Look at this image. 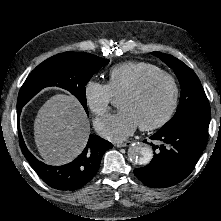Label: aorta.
Instances as JSON below:
<instances>
[{"mask_svg": "<svg viewBox=\"0 0 221 221\" xmlns=\"http://www.w3.org/2000/svg\"><path fill=\"white\" fill-rule=\"evenodd\" d=\"M128 158L136 165H147L153 158L152 148L144 143H133L128 149Z\"/></svg>", "mask_w": 221, "mask_h": 221, "instance_id": "obj_1", "label": "aorta"}]
</instances>
